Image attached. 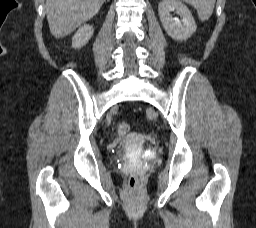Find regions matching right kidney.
<instances>
[{
	"mask_svg": "<svg viewBox=\"0 0 256 228\" xmlns=\"http://www.w3.org/2000/svg\"><path fill=\"white\" fill-rule=\"evenodd\" d=\"M94 29L91 25L80 27L72 38V47L77 49L84 46L92 37Z\"/></svg>",
	"mask_w": 256,
	"mask_h": 228,
	"instance_id": "obj_1",
	"label": "right kidney"
}]
</instances>
